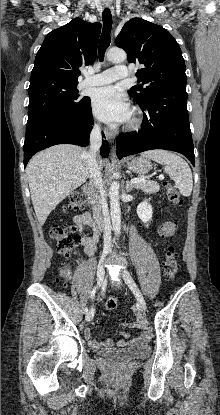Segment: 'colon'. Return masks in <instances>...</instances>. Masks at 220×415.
<instances>
[{"label":"colon","mask_w":220,"mask_h":415,"mask_svg":"<svg viewBox=\"0 0 220 415\" xmlns=\"http://www.w3.org/2000/svg\"><path fill=\"white\" fill-rule=\"evenodd\" d=\"M167 198L173 205L181 204V197L178 191L169 184H166ZM87 204V196L82 191L71 193L69 197L68 208L73 211L81 210ZM177 229V223L172 218L164 220L159 226V233L162 237H172ZM52 239L55 241V250L57 254L65 259L69 258L78 245V235L76 228L61 224H54L50 231ZM178 271V263L172 248H167L164 254V275L168 279H173ZM71 270L68 264H63L59 269V275L62 280L67 281L70 278ZM118 299L112 296L107 299L105 307L108 311L116 309ZM143 339H149L150 334L142 333Z\"/></svg>","instance_id":"obj_1"}]
</instances>
